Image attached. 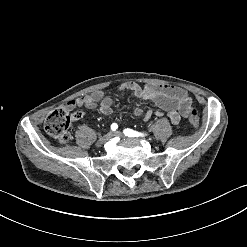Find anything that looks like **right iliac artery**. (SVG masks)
I'll list each match as a JSON object with an SVG mask.
<instances>
[{"label": "right iliac artery", "instance_id": "right-iliac-artery-1", "mask_svg": "<svg viewBox=\"0 0 247 247\" xmlns=\"http://www.w3.org/2000/svg\"><path fill=\"white\" fill-rule=\"evenodd\" d=\"M118 129V125L116 124V123H113L112 125H111V130L112 131H116Z\"/></svg>", "mask_w": 247, "mask_h": 247}]
</instances>
